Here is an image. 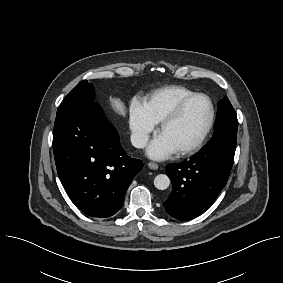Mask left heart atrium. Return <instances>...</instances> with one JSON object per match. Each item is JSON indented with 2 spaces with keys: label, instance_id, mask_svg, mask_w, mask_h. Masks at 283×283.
Returning a JSON list of instances; mask_svg holds the SVG:
<instances>
[{
  "label": "left heart atrium",
  "instance_id": "1",
  "mask_svg": "<svg viewBox=\"0 0 283 283\" xmlns=\"http://www.w3.org/2000/svg\"><path fill=\"white\" fill-rule=\"evenodd\" d=\"M175 152L174 147L161 135L157 136L147 148V155L155 160L167 159Z\"/></svg>",
  "mask_w": 283,
  "mask_h": 283
}]
</instances>
